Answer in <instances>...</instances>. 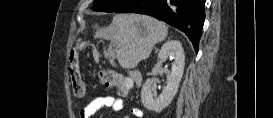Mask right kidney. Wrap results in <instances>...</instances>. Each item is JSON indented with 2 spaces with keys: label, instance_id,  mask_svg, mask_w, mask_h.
<instances>
[{
  "label": "right kidney",
  "instance_id": "obj_1",
  "mask_svg": "<svg viewBox=\"0 0 273 118\" xmlns=\"http://www.w3.org/2000/svg\"><path fill=\"white\" fill-rule=\"evenodd\" d=\"M166 55H169L173 61L172 70L167 76V86L158 96L156 92L152 93L153 81L147 79L141 91V100L144 107L155 112H161L171 103L177 94L184 71L185 55L182 44L179 41L170 40L162 46L158 53V58L163 60Z\"/></svg>",
  "mask_w": 273,
  "mask_h": 118
}]
</instances>
